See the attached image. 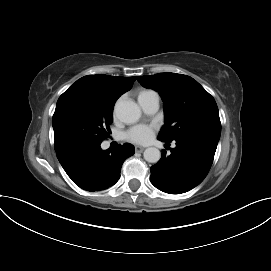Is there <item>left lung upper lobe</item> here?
<instances>
[{
	"instance_id": "left-lung-upper-lobe-1",
	"label": "left lung upper lobe",
	"mask_w": 271,
	"mask_h": 271,
	"mask_svg": "<svg viewBox=\"0 0 271 271\" xmlns=\"http://www.w3.org/2000/svg\"><path fill=\"white\" fill-rule=\"evenodd\" d=\"M139 83L159 92L164 102L165 125L159 137L167 142L184 136L219 140L221 123L214 98L193 78L159 73L137 77Z\"/></svg>"
}]
</instances>
